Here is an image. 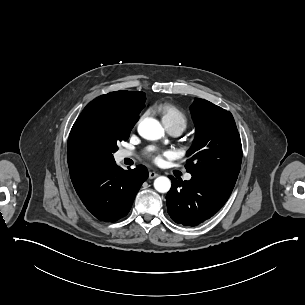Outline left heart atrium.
<instances>
[{
    "label": "left heart atrium",
    "mask_w": 305,
    "mask_h": 305,
    "mask_svg": "<svg viewBox=\"0 0 305 305\" xmlns=\"http://www.w3.org/2000/svg\"><path fill=\"white\" fill-rule=\"evenodd\" d=\"M146 154L149 156H152L153 160L155 162H160L162 160V156H171L172 152L171 151H164L162 154L155 151L153 148H149L146 150Z\"/></svg>",
    "instance_id": "obj_1"
}]
</instances>
